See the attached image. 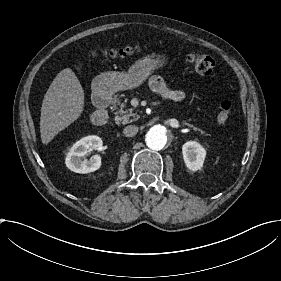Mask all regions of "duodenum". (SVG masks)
<instances>
[{"label": "duodenum", "mask_w": 281, "mask_h": 281, "mask_svg": "<svg viewBox=\"0 0 281 281\" xmlns=\"http://www.w3.org/2000/svg\"><path fill=\"white\" fill-rule=\"evenodd\" d=\"M111 101L109 93L105 90H97L93 95V102L96 107L92 115V121L97 126H105L109 119L108 107Z\"/></svg>", "instance_id": "410a0bca"}]
</instances>
